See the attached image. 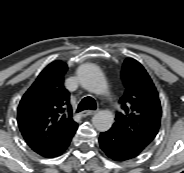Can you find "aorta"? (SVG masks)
Here are the masks:
<instances>
[{
	"instance_id": "1",
	"label": "aorta",
	"mask_w": 184,
	"mask_h": 173,
	"mask_svg": "<svg viewBox=\"0 0 184 173\" xmlns=\"http://www.w3.org/2000/svg\"><path fill=\"white\" fill-rule=\"evenodd\" d=\"M78 77L81 85L86 90L98 95L107 94L108 85L106 79L96 66L91 64L82 66ZM92 123L98 131H108L114 123V115L109 110H101L93 116Z\"/></svg>"
}]
</instances>
